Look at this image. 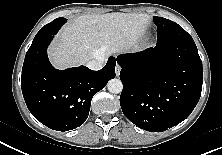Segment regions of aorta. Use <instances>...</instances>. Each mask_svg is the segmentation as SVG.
Segmentation results:
<instances>
[{
	"label": "aorta",
	"instance_id": "1",
	"mask_svg": "<svg viewBox=\"0 0 222 155\" xmlns=\"http://www.w3.org/2000/svg\"><path fill=\"white\" fill-rule=\"evenodd\" d=\"M107 88L110 93L118 94L121 93L123 89V84L121 80L114 78L109 80V82L107 83Z\"/></svg>",
	"mask_w": 222,
	"mask_h": 155
}]
</instances>
